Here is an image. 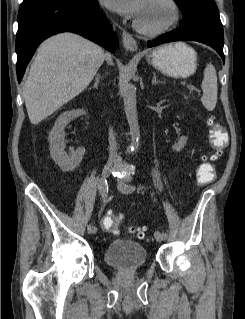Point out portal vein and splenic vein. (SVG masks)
Returning <instances> with one entry per match:
<instances>
[{"instance_id":"obj_1","label":"portal vein and splenic vein","mask_w":245,"mask_h":319,"mask_svg":"<svg viewBox=\"0 0 245 319\" xmlns=\"http://www.w3.org/2000/svg\"><path fill=\"white\" fill-rule=\"evenodd\" d=\"M187 88L190 89V90H194L195 89V87L191 86V85L187 86Z\"/></svg>"}]
</instances>
